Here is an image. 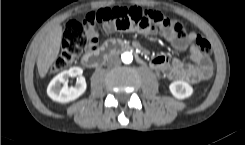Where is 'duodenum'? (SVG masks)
<instances>
[{
  "label": "duodenum",
  "mask_w": 245,
  "mask_h": 145,
  "mask_svg": "<svg viewBox=\"0 0 245 145\" xmlns=\"http://www.w3.org/2000/svg\"><path fill=\"white\" fill-rule=\"evenodd\" d=\"M136 46L125 44L119 40L111 39L95 49H89L83 56L82 62L89 68L99 67L105 59L113 52L127 51L134 53L137 60L142 63V58L135 51Z\"/></svg>",
  "instance_id": "duodenum-1"
}]
</instances>
